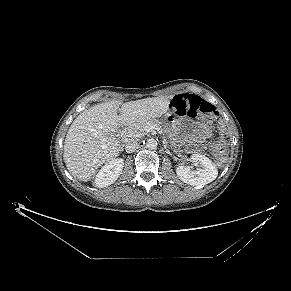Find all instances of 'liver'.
Returning <instances> with one entry per match:
<instances>
[{
    "instance_id": "6515ba94",
    "label": "liver",
    "mask_w": 291,
    "mask_h": 291,
    "mask_svg": "<svg viewBox=\"0 0 291 291\" xmlns=\"http://www.w3.org/2000/svg\"><path fill=\"white\" fill-rule=\"evenodd\" d=\"M172 97L126 103L112 100L83 111L72 122L64 142L63 159L70 174L81 181H89L97 168L120 153V142L110 133L122 125L132 126L161 117L168 111Z\"/></svg>"
}]
</instances>
